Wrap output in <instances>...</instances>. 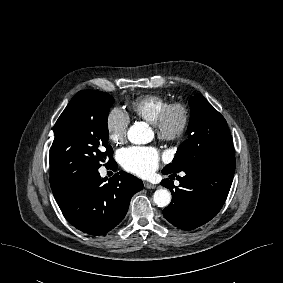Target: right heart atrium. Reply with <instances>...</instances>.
<instances>
[{"label":"right heart atrium","instance_id":"1","mask_svg":"<svg viewBox=\"0 0 283 283\" xmlns=\"http://www.w3.org/2000/svg\"><path fill=\"white\" fill-rule=\"evenodd\" d=\"M130 119L126 113L118 108L109 111L106 118V131L108 138L114 144H121L125 140Z\"/></svg>","mask_w":283,"mask_h":283}]
</instances>
